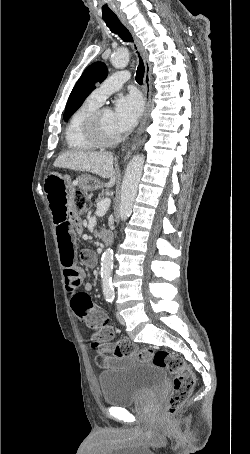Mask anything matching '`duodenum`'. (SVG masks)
<instances>
[{
    "mask_svg": "<svg viewBox=\"0 0 250 454\" xmlns=\"http://www.w3.org/2000/svg\"><path fill=\"white\" fill-rule=\"evenodd\" d=\"M101 237H102V241L105 245H110L113 242V235L108 230L102 231Z\"/></svg>",
    "mask_w": 250,
    "mask_h": 454,
    "instance_id": "1",
    "label": "duodenum"
}]
</instances>
